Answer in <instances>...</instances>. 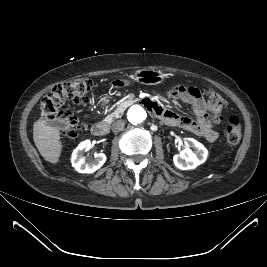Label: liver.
I'll return each mask as SVG.
<instances>
[{
	"label": "liver",
	"mask_w": 267,
	"mask_h": 267,
	"mask_svg": "<svg viewBox=\"0 0 267 267\" xmlns=\"http://www.w3.org/2000/svg\"><path fill=\"white\" fill-rule=\"evenodd\" d=\"M34 143L41 156L48 162L56 164L62 152V142L58 128L38 120L33 125Z\"/></svg>",
	"instance_id": "6515ba94"
}]
</instances>
